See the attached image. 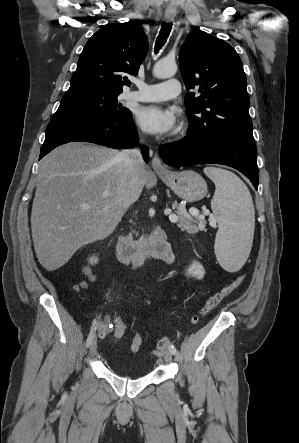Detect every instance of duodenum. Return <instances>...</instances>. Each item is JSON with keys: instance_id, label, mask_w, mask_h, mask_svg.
Wrapping results in <instances>:
<instances>
[{"instance_id": "1", "label": "duodenum", "mask_w": 299, "mask_h": 443, "mask_svg": "<svg viewBox=\"0 0 299 443\" xmlns=\"http://www.w3.org/2000/svg\"><path fill=\"white\" fill-rule=\"evenodd\" d=\"M113 247L121 261L137 264H144L152 258H161L170 250L167 235L161 228L149 238L141 241L119 237L114 241Z\"/></svg>"}]
</instances>
